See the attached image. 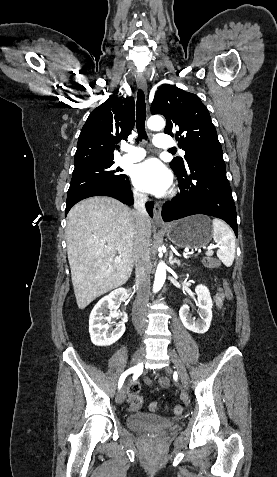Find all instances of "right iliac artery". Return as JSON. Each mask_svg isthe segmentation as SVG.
I'll return each mask as SVG.
<instances>
[{
	"label": "right iliac artery",
	"mask_w": 277,
	"mask_h": 477,
	"mask_svg": "<svg viewBox=\"0 0 277 477\" xmlns=\"http://www.w3.org/2000/svg\"><path fill=\"white\" fill-rule=\"evenodd\" d=\"M142 368H143V365L142 363L141 364H138L137 366L135 367H132L128 370H126L120 377L119 379V382H118V388H121L123 383H124V380L125 378L127 377V375H129L130 373L132 372H141L142 371Z\"/></svg>",
	"instance_id": "right-iliac-artery-1"
}]
</instances>
